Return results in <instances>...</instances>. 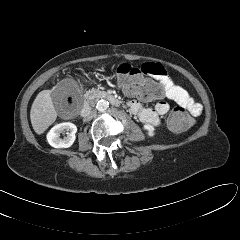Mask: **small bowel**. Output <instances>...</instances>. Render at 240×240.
I'll list each match as a JSON object with an SVG mask.
<instances>
[{
    "label": "small bowel",
    "mask_w": 240,
    "mask_h": 240,
    "mask_svg": "<svg viewBox=\"0 0 240 240\" xmlns=\"http://www.w3.org/2000/svg\"><path fill=\"white\" fill-rule=\"evenodd\" d=\"M140 69L145 75L153 77L164 87L167 99L185 108L193 116L201 114V104L195 101L183 87L176 85L161 64L144 63ZM129 107L142 123L155 127L161 125V116L165 115L170 109L169 104L164 100L157 102L153 108L146 107L137 100H131L129 101Z\"/></svg>",
    "instance_id": "small-bowel-1"
}]
</instances>
